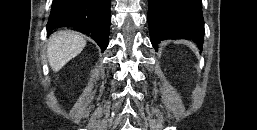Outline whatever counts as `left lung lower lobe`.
I'll list each match as a JSON object with an SVG mask.
<instances>
[{"label": "left lung lower lobe", "instance_id": "left-lung-lower-lobe-1", "mask_svg": "<svg viewBox=\"0 0 257 130\" xmlns=\"http://www.w3.org/2000/svg\"><path fill=\"white\" fill-rule=\"evenodd\" d=\"M150 40L157 45L164 39H193L202 46L204 20L201 0H149Z\"/></svg>", "mask_w": 257, "mask_h": 130}]
</instances>
